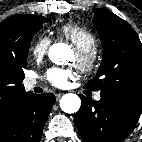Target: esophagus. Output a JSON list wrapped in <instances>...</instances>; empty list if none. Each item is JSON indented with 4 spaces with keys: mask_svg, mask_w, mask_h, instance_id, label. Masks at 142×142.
<instances>
[{
    "mask_svg": "<svg viewBox=\"0 0 142 142\" xmlns=\"http://www.w3.org/2000/svg\"><path fill=\"white\" fill-rule=\"evenodd\" d=\"M62 95H63L62 93L56 94V99L59 100L62 97Z\"/></svg>",
    "mask_w": 142,
    "mask_h": 142,
    "instance_id": "obj_1",
    "label": "esophagus"
}]
</instances>
